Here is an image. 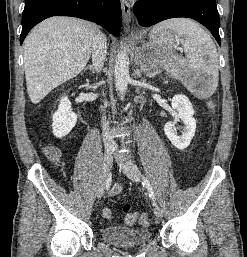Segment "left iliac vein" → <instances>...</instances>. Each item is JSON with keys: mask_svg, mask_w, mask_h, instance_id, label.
<instances>
[{"mask_svg": "<svg viewBox=\"0 0 247 257\" xmlns=\"http://www.w3.org/2000/svg\"><path fill=\"white\" fill-rule=\"evenodd\" d=\"M119 167L123 171V173L132 181L134 182H140V174L138 170L134 167V165L127 163L125 161L119 162ZM154 214L157 218L163 217V210L160 206L156 205L154 207Z\"/></svg>", "mask_w": 247, "mask_h": 257, "instance_id": "left-iliac-vein-1", "label": "left iliac vein"}]
</instances>
